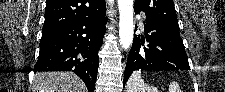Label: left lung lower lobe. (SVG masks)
<instances>
[{
  "mask_svg": "<svg viewBox=\"0 0 225 92\" xmlns=\"http://www.w3.org/2000/svg\"><path fill=\"white\" fill-rule=\"evenodd\" d=\"M144 23L145 36H134L124 72V85L135 70L190 69L179 30L158 22Z\"/></svg>",
  "mask_w": 225,
  "mask_h": 92,
  "instance_id": "obj_1",
  "label": "left lung lower lobe"
}]
</instances>
